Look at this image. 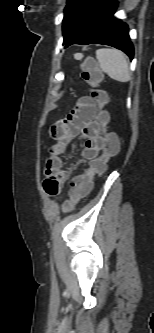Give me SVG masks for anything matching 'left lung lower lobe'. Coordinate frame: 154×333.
Instances as JSON below:
<instances>
[{
  "instance_id": "left-lung-lower-lobe-1",
  "label": "left lung lower lobe",
  "mask_w": 154,
  "mask_h": 333,
  "mask_svg": "<svg viewBox=\"0 0 154 333\" xmlns=\"http://www.w3.org/2000/svg\"><path fill=\"white\" fill-rule=\"evenodd\" d=\"M117 0H98L83 17L76 33L65 44H105L125 52L133 58L134 49L128 35V26L113 15Z\"/></svg>"
}]
</instances>
